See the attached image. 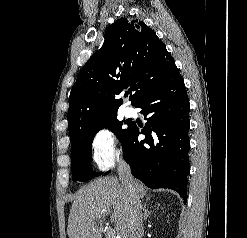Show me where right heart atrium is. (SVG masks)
I'll return each mask as SVG.
<instances>
[{"label":"right heart atrium","instance_id":"d8ad5b80","mask_svg":"<svg viewBox=\"0 0 247 238\" xmlns=\"http://www.w3.org/2000/svg\"><path fill=\"white\" fill-rule=\"evenodd\" d=\"M90 149L93 162L101 170L113 167L122 153L115 132L107 126L101 127L94 133Z\"/></svg>","mask_w":247,"mask_h":238}]
</instances>
